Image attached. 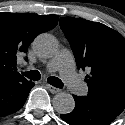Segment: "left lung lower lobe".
<instances>
[{
  "instance_id": "obj_1",
  "label": "left lung lower lobe",
  "mask_w": 125,
  "mask_h": 125,
  "mask_svg": "<svg viewBox=\"0 0 125 125\" xmlns=\"http://www.w3.org/2000/svg\"><path fill=\"white\" fill-rule=\"evenodd\" d=\"M74 110L61 118L70 125H109L125 108V100L114 96H76Z\"/></svg>"
}]
</instances>
